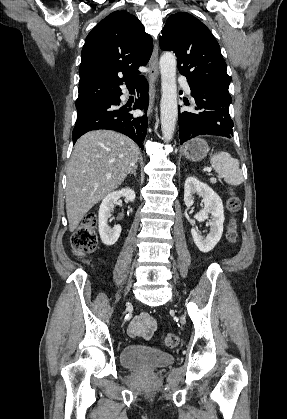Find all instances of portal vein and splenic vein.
<instances>
[{"label":"portal vein and splenic vein","mask_w":287,"mask_h":419,"mask_svg":"<svg viewBox=\"0 0 287 419\" xmlns=\"http://www.w3.org/2000/svg\"><path fill=\"white\" fill-rule=\"evenodd\" d=\"M207 171H208V172H211V169H210V168H208V169H207ZM211 182H216V179H215V178H212V179H211Z\"/></svg>","instance_id":"obj_1"}]
</instances>
